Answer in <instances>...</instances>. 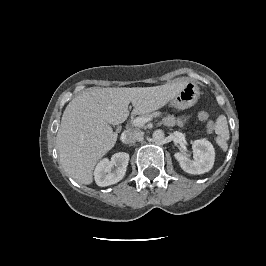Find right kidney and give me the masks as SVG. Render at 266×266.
Returning <instances> with one entry per match:
<instances>
[{
  "mask_svg": "<svg viewBox=\"0 0 266 266\" xmlns=\"http://www.w3.org/2000/svg\"><path fill=\"white\" fill-rule=\"evenodd\" d=\"M128 162L129 155L125 152L114 154L111 160L107 158L101 160L94 171L96 184L105 187L122 180L126 173Z\"/></svg>",
  "mask_w": 266,
  "mask_h": 266,
  "instance_id": "obj_1",
  "label": "right kidney"
}]
</instances>
